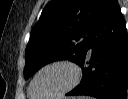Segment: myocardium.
<instances>
[{"mask_svg": "<svg viewBox=\"0 0 128 99\" xmlns=\"http://www.w3.org/2000/svg\"><path fill=\"white\" fill-rule=\"evenodd\" d=\"M56 66H66L68 68L71 69V71L73 72V80L72 82L66 87L64 88L63 90L57 92L56 94H53V95H49V96H42L44 97L43 99H55V98H59L61 96H64L66 94H68L69 92H71L74 88H76L78 86V84L80 83L81 81V78H82V72H81V69L80 67L78 66L77 63H75L74 61H71V60H57V61H53V62H50L44 66H42L40 69L37 70V72L34 74L30 84H29V89H28V92H29V95L32 97V98H39V96H35L33 94V85L37 79V77L40 75V73H42L44 70L46 69H49L51 67H56Z\"/></svg>", "mask_w": 128, "mask_h": 99, "instance_id": "f54148a6", "label": "myocardium"}]
</instances>
